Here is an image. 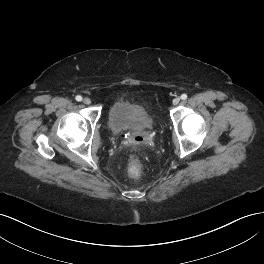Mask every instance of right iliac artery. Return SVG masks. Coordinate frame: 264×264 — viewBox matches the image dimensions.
Here are the masks:
<instances>
[{"label":"right iliac artery","mask_w":264,"mask_h":264,"mask_svg":"<svg viewBox=\"0 0 264 264\" xmlns=\"http://www.w3.org/2000/svg\"><path fill=\"white\" fill-rule=\"evenodd\" d=\"M77 101H81L82 100V97L80 95H77L76 98H75Z\"/></svg>","instance_id":"1"}]
</instances>
